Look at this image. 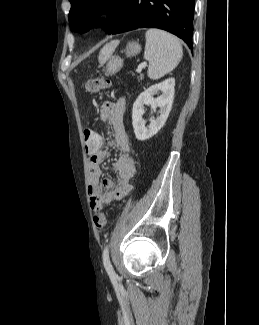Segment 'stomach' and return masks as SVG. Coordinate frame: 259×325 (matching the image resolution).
I'll use <instances>...</instances> for the list:
<instances>
[{
	"label": "stomach",
	"mask_w": 259,
	"mask_h": 325,
	"mask_svg": "<svg viewBox=\"0 0 259 325\" xmlns=\"http://www.w3.org/2000/svg\"><path fill=\"white\" fill-rule=\"evenodd\" d=\"M141 51V46L138 42H129L126 46V57L136 56ZM123 66V59L118 56H112L106 65V75H113L118 72Z\"/></svg>",
	"instance_id": "0dacf381"
}]
</instances>
